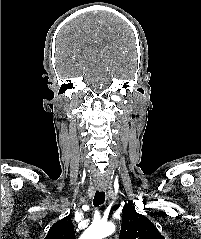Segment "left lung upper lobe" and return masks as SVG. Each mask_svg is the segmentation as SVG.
<instances>
[{
    "label": "left lung upper lobe",
    "instance_id": "1",
    "mask_svg": "<svg viewBox=\"0 0 201 239\" xmlns=\"http://www.w3.org/2000/svg\"><path fill=\"white\" fill-rule=\"evenodd\" d=\"M122 213L120 239H165L148 218L135 211L131 203L123 207Z\"/></svg>",
    "mask_w": 201,
    "mask_h": 239
}]
</instances>
